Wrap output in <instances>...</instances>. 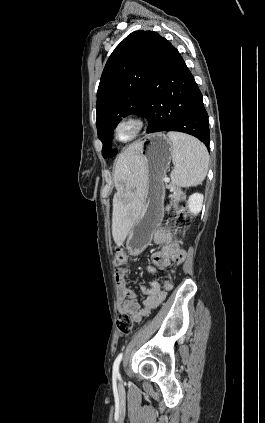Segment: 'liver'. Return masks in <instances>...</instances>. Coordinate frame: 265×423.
<instances>
[{
	"mask_svg": "<svg viewBox=\"0 0 265 423\" xmlns=\"http://www.w3.org/2000/svg\"><path fill=\"white\" fill-rule=\"evenodd\" d=\"M139 149L138 142L133 143L115 163L113 177L117 193L113 198L112 236L117 246L125 241L143 202L145 177L138 160ZM130 188L135 191L131 192Z\"/></svg>",
	"mask_w": 265,
	"mask_h": 423,
	"instance_id": "1",
	"label": "liver"
}]
</instances>
